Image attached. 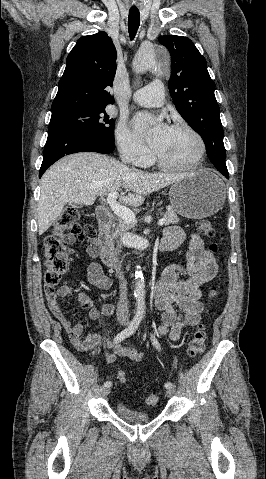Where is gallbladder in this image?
I'll list each match as a JSON object with an SVG mask.
<instances>
[{
	"label": "gallbladder",
	"mask_w": 266,
	"mask_h": 479,
	"mask_svg": "<svg viewBox=\"0 0 266 479\" xmlns=\"http://www.w3.org/2000/svg\"><path fill=\"white\" fill-rule=\"evenodd\" d=\"M73 207L79 208L81 205L79 203H69Z\"/></svg>",
	"instance_id": "gallbladder-1"
}]
</instances>
